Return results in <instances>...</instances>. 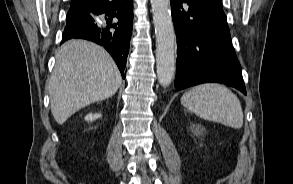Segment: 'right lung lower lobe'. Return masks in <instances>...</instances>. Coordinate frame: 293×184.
Masks as SVG:
<instances>
[{
    "label": "right lung lower lobe",
    "instance_id": "right-lung-lower-lobe-1",
    "mask_svg": "<svg viewBox=\"0 0 293 184\" xmlns=\"http://www.w3.org/2000/svg\"><path fill=\"white\" fill-rule=\"evenodd\" d=\"M132 22L133 0L82 1L70 6L62 43L82 38L105 47L125 78Z\"/></svg>",
    "mask_w": 293,
    "mask_h": 184
}]
</instances>
